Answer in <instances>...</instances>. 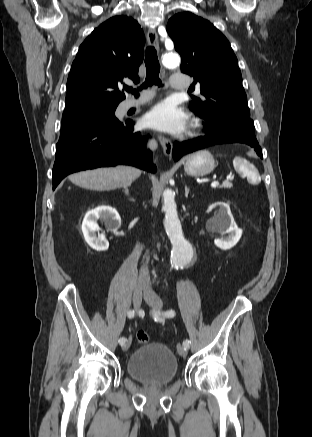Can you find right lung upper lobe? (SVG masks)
Here are the masks:
<instances>
[{
	"label": "right lung upper lobe",
	"instance_id": "obj_1",
	"mask_svg": "<svg viewBox=\"0 0 312 437\" xmlns=\"http://www.w3.org/2000/svg\"><path fill=\"white\" fill-rule=\"evenodd\" d=\"M145 38L136 20L115 16L102 23L80 45L67 80L66 109L117 106L126 77L139 81Z\"/></svg>",
	"mask_w": 312,
	"mask_h": 437
}]
</instances>
